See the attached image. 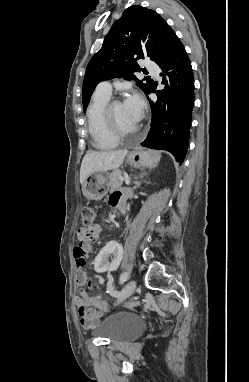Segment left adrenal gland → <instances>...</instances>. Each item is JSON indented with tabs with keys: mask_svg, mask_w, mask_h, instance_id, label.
<instances>
[{
	"mask_svg": "<svg viewBox=\"0 0 249 382\" xmlns=\"http://www.w3.org/2000/svg\"><path fill=\"white\" fill-rule=\"evenodd\" d=\"M140 186V183L138 182L137 184H136V187H139Z\"/></svg>",
	"mask_w": 249,
	"mask_h": 382,
	"instance_id": "left-adrenal-gland-1",
	"label": "left adrenal gland"
}]
</instances>
